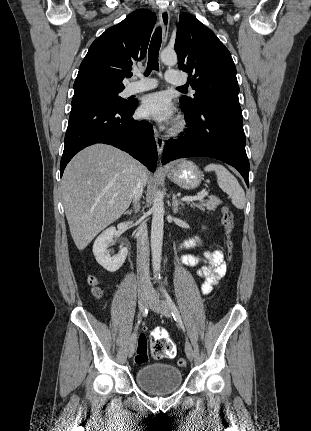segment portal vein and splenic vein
<instances>
[{"instance_id":"portal-vein-and-splenic-vein-1","label":"portal vein and splenic vein","mask_w":311,"mask_h":431,"mask_svg":"<svg viewBox=\"0 0 311 431\" xmlns=\"http://www.w3.org/2000/svg\"><path fill=\"white\" fill-rule=\"evenodd\" d=\"M205 196H208L207 190H204L202 194H197V196H186V198H181L182 202H196V200H203ZM109 204H113V202H109Z\"/></svg>"}]
</instances>
